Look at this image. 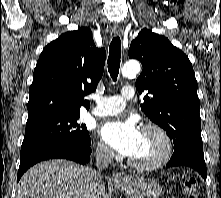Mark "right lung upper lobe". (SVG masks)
Here are the masks:
<instances>
[{
	"instance_id": "cb5924a9",
	"label": "right lung upper lobe",
	"mask_w": 221,
	"mask_h": 198,
	"mask_svg": "<svg viewBox=\"0 0 221 198\" xmlns=\"http://www.w3.org/2000/svg\"><path fill=\"white\" fill-rule=\"evenodd\" d=\"M106 52L97 48L86 27L62 34L42 51L30 86L28 121L52 114L80 113L84 96L97 87Z\"/></svg>"
}]
</instances>
